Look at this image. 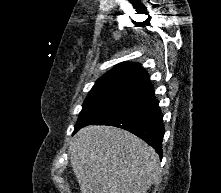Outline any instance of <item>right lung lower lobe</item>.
Wrapping results in <instances>:
<instances>
[{
	"mask_svg": "<svg viewBox=\"0 0 221 193\" xmlns=\"http://www.w3.org/2000/svg\"><path fill=\"white\" fill-rule=\"evenodd\" d=\"M163 114L159 101L155 98L152 85L145 88L137 97L89 124L112 125L125 129L151 145L162 159V141L165 133ZM75 130V131H77Z\"/></svg>",
	"mask_w": 221,
	"mask_h": 193,
	"instance_id": "right-lung-lower-lobe-1",
	"label": "right lung lower lobe"
}]
</instances>
